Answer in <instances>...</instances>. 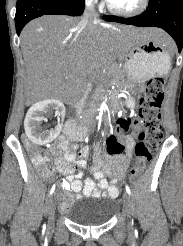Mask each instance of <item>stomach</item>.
<instances>
[{"mask_svg": "<svg viewBox=\"0 0 183 246\" xmlns=\"http://www.w3.org/2000/svg\"><path fill=\"white\" fill-rule=\"evenodd\" d=\"M166 48L155 40L131 41L124 54L125 74L132 80L143 82L154 75L167 73L170 56Z\"/></svg>", "mask_w": 183, "mask_h": 246, "instance_id": "1", "label": "stomach"}]
</instances>
